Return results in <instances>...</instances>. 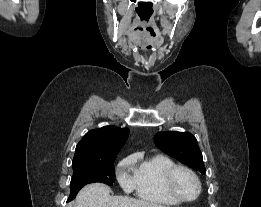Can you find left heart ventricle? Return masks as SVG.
Instances as JSON below:
<instances>
[{
    "label": "left heart ventricle",
    "mask_w": 261,
    "mask_h": 207,
    "mask_svg": "<svg viewBox=\"0 0 261 207\" xmlns=\"http://www.w3.org/2000/svg\"><path fill=\"white\" fill-rule=\"evenodd\" d=\"M176 190L184 198H193L197 193V184L195 180L186 172L179 171L174 180Z\"/></svg>",
    "instance_id": "1"
}]
</instances>
